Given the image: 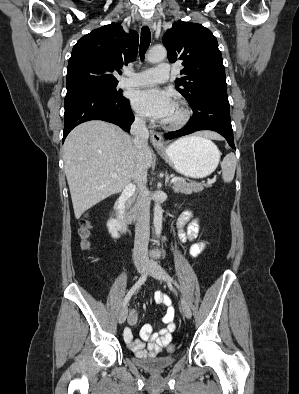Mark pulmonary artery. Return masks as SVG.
I'll return each instance as SVG.
<instances>
[{
  "mask_svg": "<svg viewBox=\"0 0 299 394\" xmlns=\"http://www.w3.org/2000/svg\"><path fill=\"white\" fill-rule=\"evenodd\" d=\"M169 75V65L162 63L155 68L147 69L135 74H127L128 77L121 79L118 86L120 88L149 86L166 81L169 78Z\"/></svg>",
  "mask_w": 299,
  "mask_h": 394,
  "instance_id": "1",
  "label": "pulmonary artery"
}]
</instances>
